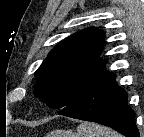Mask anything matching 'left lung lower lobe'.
Wrapping results in <instances>:
<instances>
[{"label":"left lung lower lobe","instance_id":"0a47b994","mask_svg":"<svg viewBox=\"0 0 144 137\" xmlns=\"http://www.w3.org/2000/svg\"><path fill=\"white\" fill-rule=\"evenodd\" d=\"M58 114L103 124L126 137H139L135 113L127 104V93L116 84L114 73Z\"/></svg>","mask_w":144,"mask_h":137}]
</instances>
